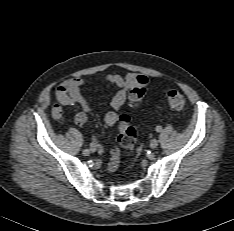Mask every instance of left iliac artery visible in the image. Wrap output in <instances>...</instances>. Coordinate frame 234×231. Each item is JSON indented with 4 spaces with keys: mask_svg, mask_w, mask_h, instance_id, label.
I'll list each match as a JSON object with an SVG mask.
<instances>
[{
    "mask_svg": "<svg viewBox=\"0 0 234 231\" xmlns=\"http://www.w3.org/2000/svg\"><path fill=\"white\" fill-rule=\"evenodd\" d=\"M156 131H157V132H161V131H162V127H161V126H157V127H156Z\"/></svg>",
    "mask_w": 234,
    "mask_h": 231,
    "instance_id": "obj_1",
    "label": "left iliac artery"
}]
</instances>
